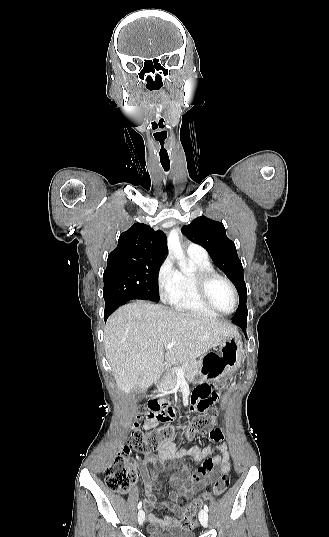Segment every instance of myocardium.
Returning <instances> with one entry per match:
<instances>
[{"label": "myocardium", "mask_w": 329, "mask_h": 537, "mask_svg": "<svg viewBox=\"0 0 329 537\" xmlns=\"http://www.w3.org/2000/svg\"><path fill=\"white\" fill-rule=\"evenodd\" d=\"M192 279L199 298L213 312L220 315H231L237 310L239 305V295L236 287L227 277L216 272L215 270L197 268L192 273ZM215 280H220L226 283L233 293L234 307L230 312H223L219 310L210 299L209 286Z\"/></svg>", "instance_id": "myocardium-1"}]
</instances>
